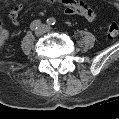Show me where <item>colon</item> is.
<instances>
[{"label":"colon","mask_w":119,"mask_h":119,"mask_svg":"<svg viewBox=\"0 0 119 119\" xmlns=\"http://www.w3.org/2000/svg\"><path fill=\"white\" fill-rule=\"evenodd\" d=\"M119 34V26L116 22H112L107 29V35L110 39L117 37ZM2 38V36H0Z\"/></svg>","instance_id":"1"}]
</instances>
